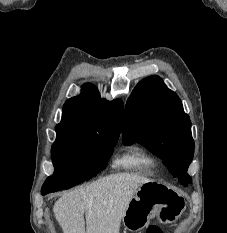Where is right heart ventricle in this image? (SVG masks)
I'll return each instance as SVG.
<instances>
[{"label":"right heart ventricle","mask_w":227,"mask_h":233,"mask_svg":"<svg viewBox=\"0 0 227 233\" xmlns=\"http://www.w3.org/2000/svg\"><path fill=\"white\" fill-rule=\"evenodd\" d=\"M119 167L142 172L145 174H154L157 162L156 159L142 146H130L116 161Z\"/></svg>","instance_id":"1"}]
</instances>
